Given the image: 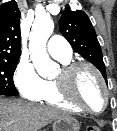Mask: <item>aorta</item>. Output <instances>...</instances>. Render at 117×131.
Returning <instances> with one entry per match:
<instances>
[{
	"mask_svg": "<svg viewBox=\"0 0 117 131\" xmlns=\"http://www.w3.org/2000/svg\"><path fill=\"white\" fill-rule=\"evenodd\" d=\"M53 30L54 22L50 17H37L29 36L30 58L38 74L43 78L51 76L57 67L46 50V43Z\"/></svg>",
	"mask_w": 117,
	"mask_h": 131,
	"instance_id": "762f6f07",
	"label": "aorta"
}]
</instances>
